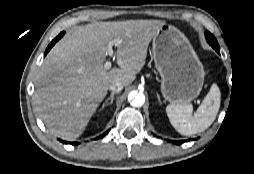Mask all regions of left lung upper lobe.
<instances>
[{
  "mask_svg": "<svg viewBox=\"0 0 254 174\" xmlns=\"http://www.w3.org/2000/svg\"><path fill=\"white\" fill-rule=\"evenodd\" d=\"M207 42L215 49L220 50L216 38L208 31L205 32Z\"/></svg>",
  "mask_w": 254,
  "mask_h": 174,
  "instance_id": "left-lung-upper-lobe-1",
  "label": "left lung upper lobe"
}]
</instances>
